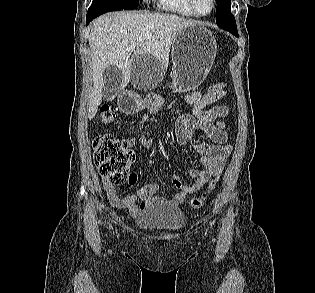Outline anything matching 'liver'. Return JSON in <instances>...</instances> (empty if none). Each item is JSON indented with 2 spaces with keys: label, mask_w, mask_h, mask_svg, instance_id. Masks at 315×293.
Returning <instances> with one entry per match:
<instances>
[{
  "label": "liver",
  "mask_w": 315,
  "mask_h": 293,
  "mask_svg": "<svg viewBox=\"0 0 315 293\" xmlns=\"http://www.w3.org/2000/svg\"><path fill=\"white\" fill-rule=\"evenodd\" d=\"M198 24L193 20L168 13L141 11L108 13L97 18L90 27L89 45L93 89L88 103L91 120L102 102L103 71L115 65L124 73V88L131 80L132 59L143 54L152 56L165 67L176 35L183 28ZM132 43L137 46L130 59Z\"/></svg>",
  "instance_id": "6515ba94"
}]
</instances>
